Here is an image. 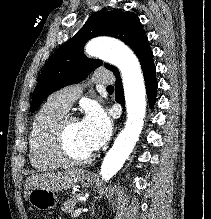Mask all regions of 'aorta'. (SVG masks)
Listing matches in <instances>:
<instances>
[{"label": "aorta", "mask_w": 211, "mask_h": 219, "mask_svg": "<svg viewBox=\"0 0 211 219\" xmlns=\"http://www.w3.org/2000/svg\"><path fill=\"white\" fill-rule=\"evenodd\" d=\"M86 52L115 65L122 74L127 121L103 159L100 174L107 181L123 166L142 131L146 112V89L139 61L123 43L96 39L87 44Z\"/></svg>", "instance_id": "1"}]
</instances>
